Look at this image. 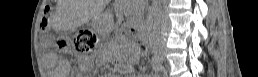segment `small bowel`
Listing matches in <instances>:
<instances>
[{
    "instance_id": "1",
    "label": "small bowel",
    "mask_w": 258,
    "mask_h": 77,
    "mask_svg": "<svg viewBox=\"0 0 258 77\" xmlns=\"http://www.w3.org/2000/svg\"><path fill=\"white\" fill-rule=\"evenodd\" d=\"M128 56H129V59L133 62L138 58L139 53L136 50H130ZM48 57H50V55H48ZM55 63L57 65V69L59 70L67 69V65L64 60L56 59ZM57 73H64V71H57Z\"/></svg>"
}]
</instances>
